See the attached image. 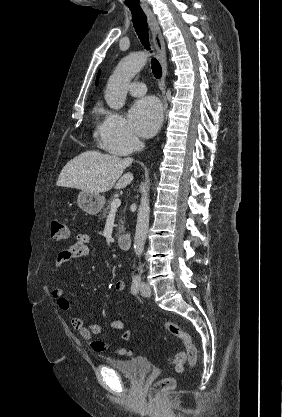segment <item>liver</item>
<instances>
[{
  "label": "liver",
  "instance_id": "1",
  "mask_svg": "<svg viewBox=\"0 0 282 417\" xmlns=\"http://www.w3.org/2000/svg\"><path fill=\"white\" fill-rule=\"evenodd\" d=\"M130 164L129 158L102 154L97 150H85L65 164L58 176L57 184L80 188L94 194L110 190L114 184V188H125L132 182L133 174L132 172H126L123 176L121 174Z\"/></svg>",
  "mask_w": 282,
  "mask_h": 417
}]
</instances>
